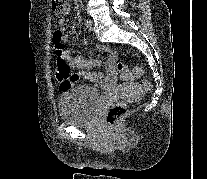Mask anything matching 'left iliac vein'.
Returning a JSON list of instances; mask_svg holds the SVG:
<instances>
[{
    "label": "left iliac vein",
    "mask_w": 207,
    "mask_h": 179,
    "mask_svg": "<svg viewBox=\"0 0 207 179\" xmlns=\"http://www.w3.org/2000/svg\"><path fill=\"white\" fill-rule=\"evenodd\" d=\"M88 28H89V31H93V21L92 20H88Z\"/></svg>",
    "instance_id": "obj_1"
}]
</instances>
